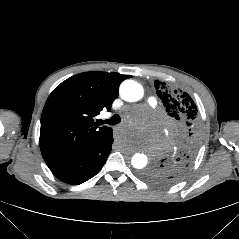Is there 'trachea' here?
<instances>
[{
    "mask_svg": "<svg viewBox=\"0 0 239 239\" xmlns=\"http://www.w3.org/2000/svg\"><path fill=\"white\" fill-rule=\"evenodd\" d=\"M121 121V118H120V116L119 115H114L113 117H111L110 119H108V120H105V121H100L99 123L102 125V124H104V123H106V124H109V125H116V124H118L119 122Z\"/></svg>",
    "mask_w": 239,
    "mask_h": 239,
    "instance_id": "3493384b",
    "label": "trachea"
}]
</instances>
